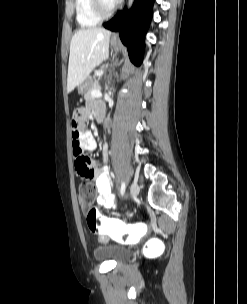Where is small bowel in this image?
I'll use <instances>...</instances> for the list:
<instances>
[{
	"label": "small bowel",
	"mask_w": 247,
	"mask_h": 304,
	"mask_svg": "<svg viewBox=\"0 0 247 304\" xmlns=\"http://www.w3.org/2000/svg\"><path fill=\"white\" fill-rule=\"evenodd\" d=\"M103 109V106L99 103L94 105V111ZM87 110L78 108L76 112H72L71 120V132L70 140L72 145V151L75 158V168L77 173L83 178H90L95 181V188L97 191L96 202L98 205L106 209H116L117 201L113 194L112 180L106 166H96V163L90 158L86 157V152L93 151L96 148V141L91 132L83 130V122L87 117ZM108 154V146L103 148L102 158L105 159ZM77 159H86L84 167H80L77 163Z\"/></svg>",
	"instance_id": "obj_1"
}]
</instances>
